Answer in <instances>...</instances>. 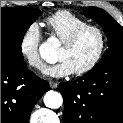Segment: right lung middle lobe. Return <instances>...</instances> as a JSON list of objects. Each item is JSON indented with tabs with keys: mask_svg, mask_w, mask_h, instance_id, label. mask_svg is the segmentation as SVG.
<instances>
[{
	"mask_svg": "<svg viewBox=\"0 0 123 123\" xmlns=\"http://www.w3.org/2000/svg\"><path fill=\"white\" fill-rule=\"evenodd\" d=\"M40 13L39 9L28 7L1 8V54L23 60V37Z\"/></svg>",
	"mask_w": 123,
	"mask_h": 123,
	"instance_id": "obj_1",
	"label": "right lung middle lobe"
}]
</instances>
